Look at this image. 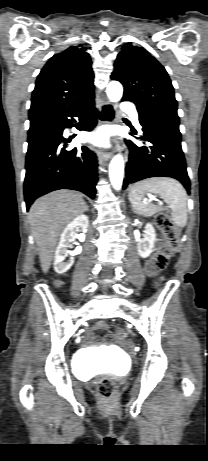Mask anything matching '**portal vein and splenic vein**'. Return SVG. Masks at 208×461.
<instances>
[{
  "mask_svg": "<svg viewBox=\"0 0 208 461\" xmlns=\"http://www.w3.org/2000/svg\"><path fill=\"white\" fill-rule=\"evenodd\" d=\"M152 201H158V202H159V204H162V202H161V201L157 200V199H156L155 197H153V196H150V198H149L148 202H152Z\"/></svg>",
  "mask_w": 208,
  "mask_h": 461,
  "instance_id": "18ae733b",
  "label": "portal vein and splenic vein"
}]
</instances>
